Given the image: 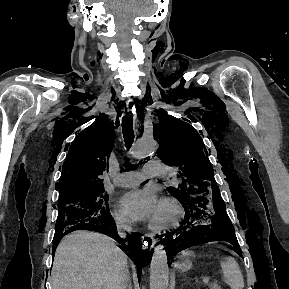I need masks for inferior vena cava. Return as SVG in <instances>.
I'll list each match as a JSON object with an SVG mask.
<instances>
[{
  "label": "inferior vena cava",
  "instance_id": "inferior-vena-cava-1",
  "mask_svg": "<svg viewBox=\"0 0 289 289\" xmlns=\"http://www.w3.org/2000/svg\"><path fill=\"white\" fill-rule=\"evenodd\" d=\"M118 231H119L120 235L125 236L124 232L125 231L131 232L132 228H131V226L129 224H125L123 222H119ZM129 280H130L129 271H128L127 267H126L125 270L123 271V274H122V280H121L120 289H129V287L131 286L130 284H128Z\"/></svg>",
  "mask_w": 289,
  "mask_h": 289
}]
</instances>
